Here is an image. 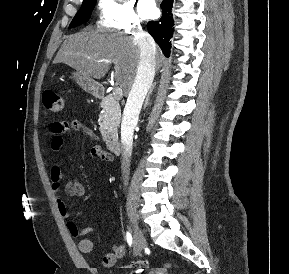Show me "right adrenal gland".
<instances>
[{
    "label": "right adrenal gland",
    "instance_id": "right-adrenal-gland-1",
    "mask_svg": "<svg viewBox=\"0 0 289 274\" xmlns=\"http://www.w3.org/2000/svg\"><path fill=\"white\" fill-rule=\"evenodd\" d=\"M155 86H156V83H154V84L152 85V87L150 88V90H149V92H148V95H147V97H146V99H145L143 109H145L148 105H150V102H149V100H150V95L152 94L153 90L155 89Z\"/></svg>",
    "mask_w": 289,
    "mask_h": 274
}]
</instances>
